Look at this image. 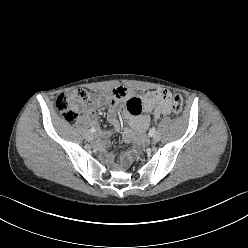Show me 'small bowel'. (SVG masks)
I'll return each mask as SVG.
<instances>
[{
	"label": "small bowel",
	"mask_w": 248,
	"mask_h": 248,
	"mask_svg": "<svg viewBox=\"0 0 248 248\" xmlns=\"http://www.w3.org/2000/svg\"><path fill=\"white\" fill-rule=\"evenodd\" d=\"M93 104L90 107H83L78 103H73L77 111H84L86 114L93 116L94 108L109 106L108 120L114 131L120 130V123L116 113V106L119 102H126L127 119L132 131H127L128 138H134L147 130L149 126L162 115H168L172 110V103L169 98L162 96V90H140L126 87H116L108 93L94 91L92 93ZM152 112L150 116L147 113ZM109 133H101L96 140L98 147L106 148L108 144ZM143 144V139H139L138 145ZM131 154L122 157L123 161L129 160Z\"/></svg>",
	"instance_id": "small-bowel-1"
}]
</instances>
